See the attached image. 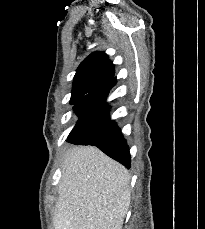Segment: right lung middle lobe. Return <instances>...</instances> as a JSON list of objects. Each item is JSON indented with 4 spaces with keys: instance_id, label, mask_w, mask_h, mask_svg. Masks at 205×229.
Here are the masks:
<instances>
[{
    "instance_id": "right-lung-middle-lobe-1",
    "label": "right lung middle lobe",
    "mask_w": 205,
    "mask_h": 229,
    "mask_svg": "<svg viewBox=\"0 0 205 229\" xmlns=\"http://www.w3.org/2000/svg\"><path fill=\"white\" fill-rule=\"evenodd\" d=\"M76 102H77V101H72V100H71V104H75Z\"/></svg>"
}]
</instances>
